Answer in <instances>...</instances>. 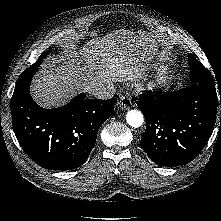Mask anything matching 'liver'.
<instances>
[{
    "mask_svg": "<svg viewBox=\"0 0 221 221\" xmlns=\"http://www.w3.org/2000/svg\"><path fill=\"white\" fill-rule=\"evenodd\" d=\"M155 43L148 35L120 29L92 39L69 55L48 59L31 86L33 99L44 108L64 104L78 91L141 79L153 60ZM114 86V85H113Z\"/></svg>",
    "mask_w": 221,
    "mask_h": 221,
    "instance_id": "liver-1",
    "label": "liver"
}]
</instances>
